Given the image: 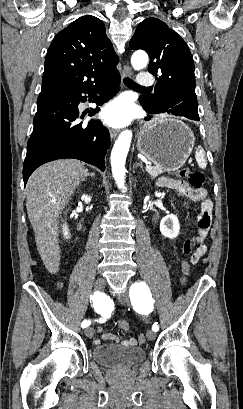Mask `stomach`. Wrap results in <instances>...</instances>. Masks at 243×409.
<instances>
[{
    "label": "stomach",
    "instance_id": "obj_1",
    "mask_svg": "<svg viewBox=\"0 0 243 409\" xmlns=\"http://www.w3.org/2000/svg\"><path fill=\"white\" fill-rule=\"evenodd\" d=\"M195 137L182 121L160 116L147 122L139 132L138 151L165 171L181 168L194 147Z\"/></svg>",
    "mask_w": 243,
    "mask_h": 409
}]
</instances>
